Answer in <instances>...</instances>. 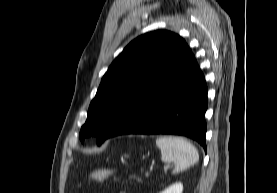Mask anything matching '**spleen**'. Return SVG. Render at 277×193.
Here are the masks:
<instances>
[{"mask_svg": "<svg viewBox=\"0 0 277 193\" xmlns=\"http://www.w3.org/2000/svg\"><path fill=\"white\" fill-rule=\"evenodd\" d=\"M156 145L163 162H174L173 174L186 170L199 160L197 149L182 137L162 136L157 138Z\"/></svg>", "mask_w": 277, "mask_h": 193, "instance_id": "spleen-1", "label": "spleen"}]
</instances>
